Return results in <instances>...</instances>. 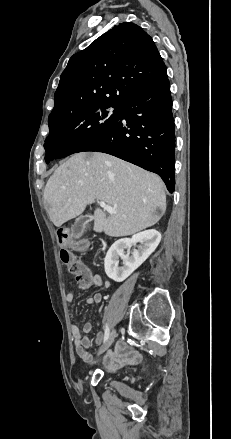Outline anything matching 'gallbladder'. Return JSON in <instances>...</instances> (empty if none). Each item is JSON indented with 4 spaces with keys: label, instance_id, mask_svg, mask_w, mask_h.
<instances>
[{
    "label": "gallbladder",
    "instance_id": "bac80fb5",
    "mask_svg": "<svg viewBox=\"0 0 231 439\" xmlns=\"http://www.w3.org/2000/svg\"><path fill=\"white\" fill-rule=\"evenodd\" d=\"M90 220H91V217L89 215L80 216L79 218H77L71 227L72 235L81 237L84 233L86 224Z\"/></svg>",
    "mask_w": 231,
    "mask_h": 439
}]
</instances>
